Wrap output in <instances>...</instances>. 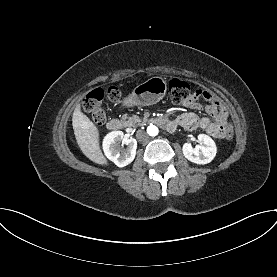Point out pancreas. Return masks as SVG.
Here are the masks:
<instances>
[{
	"label": "pancreas",
	"instance_id": "pancreas-1",
	"mask_svg": "<svg viewBox=\"0 0 277 277\" xmlns=\"http://www.w3.org/2000/svg\"><path fill=\"white\" fill-rule=\"evenodd\" d=\"M142 124V120L136 115L128 117V120L125 121V125L128 127L141 126Z\"/></svg>",
	"mask_w": 277,
	"mask_h": 277
}]
</instances>
